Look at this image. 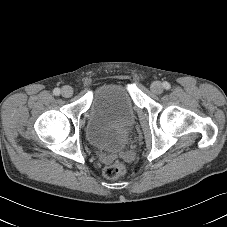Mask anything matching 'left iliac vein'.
I'll return each mask as SVG.
<instances>
[{"label": "left iliac vein", "mask_w": 227, "mask_h": 227, "mask_svg": "<svg viewBox=\"0 0 227 227\" xmlns=\"http://www.w3.org/2000/svg\"><path fill=\"white\" fill-rule=\"evenodd\" d=\"M150 88H151V91L155 94H161L163 92V86L159 81L153 82Z\"/></svg>", "instance_id": "obj_1"}]
</instances>
